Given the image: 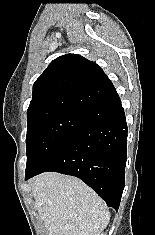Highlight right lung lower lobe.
Instances as JSON below:
<instances>
[{
	"mask_svg": "<svg viewBox=\"0 0 155 235\" xmlns=\"http://www.w3.org/2000/svg\"><path fill=\"white\" fill-rule=\"evenodd\" d=\"M85 93L98 118L76 132L43 166L25 173V180L47 171L76 176L118 210L127 159L125 113L111 81Z\"/></svg>",
	"mask_w": 155,
	"mask_h": 235,
	"instance_id": "98d812e1",
	"label": "right lung lower lobe"
}]
</instances>
